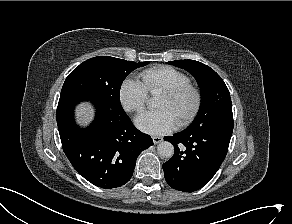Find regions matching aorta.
Masks as SVG:
<instances>
[{
	"label": "aorta",
	"mask_w": 292,
	"mask_h": 224,
	"mask_svg": "<svg viewBox=\"0 0 292 224\" xmlns=\"http://www.w3.org/2000/svg\"><path fill=\"white\" fill-rule=\"evenodd\" d=\"M158 154L164 158H170L174 154V146L168 141H162L157 147Z\"/></svg>",
	"instance_id": "762f6f07"
}]
</instances>
